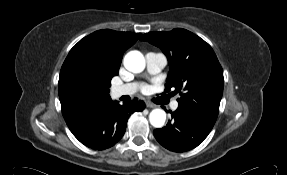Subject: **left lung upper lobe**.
<instances>
[{
    "label": "left lung upper lobe",
    "instance_id": "left-lung-upper-lobe-1",
    "mask_svg": "<svg viewBox=\"0 0 287 175\" xmlns=\"http://www.w3.org/2000/svg\"><path fill=\"white\" fill-rule=\"evenodd\" d=\"M141 40L161 48L170 72L165 92H180L178 107L190 111L213 127L223 94L222 67L211 46L197 35L181 28L169 32H149Z\"/></svg>",
    "mask_w": 287,
    "mask_h": 175
}]
</instances>
